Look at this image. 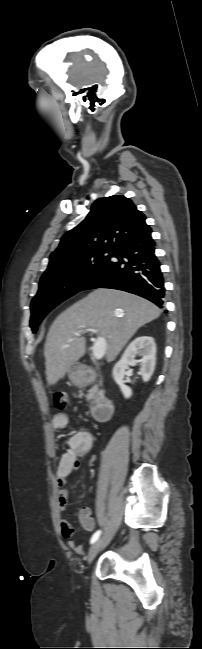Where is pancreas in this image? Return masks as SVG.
Wrapping results in <instances>:
<instances>
[{
	"label": "pancreas",
	"mask_w": 202,
	"mask_h": 649,
	"mask_svg": "<svg viewBox=\"0 0 202 649\" xmlns=\"http://www.w3.org/2000/svg\"><path fill=\"white\" fill-rule=\"evenodd\" d=\"M94 398H95V396H94L93 393H89V394L87 395V400H88V402H89L90 404H92Z\"/></svg>",
	"instance_id": "pancreas-1"
}]
</instances>
